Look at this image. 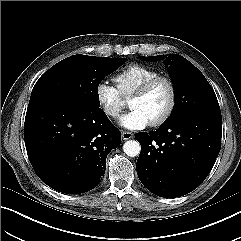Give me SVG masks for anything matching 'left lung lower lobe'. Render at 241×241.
Masks as SVG:
<instances>
[{"mask_svg": "<svg viewBox=\"0 0 241 241\" xmlns=\"http://www.w3.org/2000/svg\"><path fill=\"white\" fill-rule=\"evenodd\" d=\"M221 113L195 112L135 135L141 144L137 175L153 194L173 198L196 189L220 152Z\"/></svg>", "mask_w": 241, "mask_h": 241, "instance_id": "1", "label": "left lung lower lobe"}]
</instances>
